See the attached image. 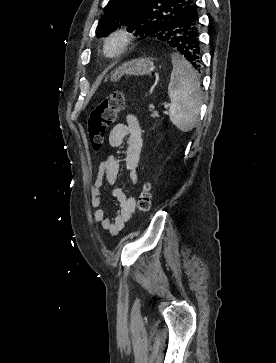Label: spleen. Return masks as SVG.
<instances>
[{"mask_svg":"<svg viewBox=\"0 0 276 363\" xmlns=\"http://www.w3.org/2000/svg\"><path fill=\"white\" fill-rule=\"evenodd\" d=\"M173 70L168 86L169 117L182 132L191 131L199 121L202 96L200 81L190 63L180 54L171 55Z\"/></svg>","mask_w":276,"mask_h":363,"instance_id":"spleen-1","label":"spleen"}]
</instances>
